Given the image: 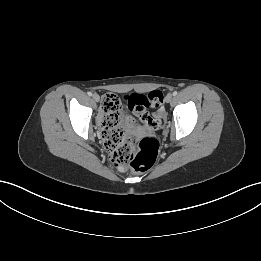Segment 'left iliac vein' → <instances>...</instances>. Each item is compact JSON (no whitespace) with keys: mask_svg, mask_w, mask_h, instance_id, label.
<instances>
[{"mask_svg":"<svg viewBox=\"0 0 261 261\" xmlns=\"http://www.w3.org/2000/svg\"><path fill=\"white\" fill-rule=\"evenodd\" d=\"M172 99H173V95L169 93L165 97V102L170 103L172 101Z\"/></svg>","mask_w":261,"mask_h":261,"instance_id":"4c4485c4","label":"left iliac vein"}]
</instances>
